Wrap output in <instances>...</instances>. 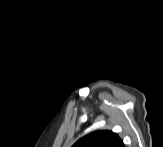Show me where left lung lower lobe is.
I'll return each instance as SVG.
<instances>
[{
	"mask_svg": "<svg viewBox=\"0 0 163 147\" xmlns=\"http://www.w3.org/2000/svg\"><path fill=\"white\" fill-rule=\"evenodd\" d=\"M117 147H124V144L122 143V141H120Z\"/></svg>",
	"mask_w": 163,
	"mask_h": 147,
	"instance_id": "0a47b994",
	"label": "left lung lower lobe"
}]
</instances>
